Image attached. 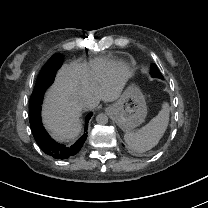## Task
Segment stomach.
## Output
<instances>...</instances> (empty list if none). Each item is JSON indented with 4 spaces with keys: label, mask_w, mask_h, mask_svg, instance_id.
Listing matches in <instances>:
<instances>
[{
    "label": "stomach",
    "mask_w": 208,
    "mask_h": 208,
    "mask_svg": "<svg viewBox=\"0 0 208 208\" xmlns=\"http://www.w3.org/2000/svg\"><path fill=\"white\" fill-rule=\"evenodd\" d=\"M118 127L129 133L142 124L147 115L144 97L134 87H129L118 99L117 103L106 108Z\"/></svg>",
    "instance_id": "0dacf381"
}]
</instances>
